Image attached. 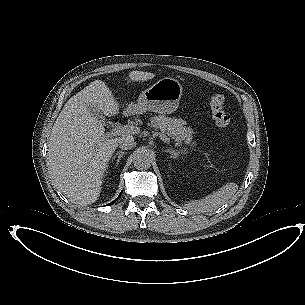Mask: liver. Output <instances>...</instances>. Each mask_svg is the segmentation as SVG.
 <instances>
[{"mask_svg": "<svg viewBox=\"0 0 305 305\" xmlns=\"http://www.w3.org/2000/svg\"><path fill=\"white\" fill-rule=\"evenodd\" d=\"M118 113V102L100 80L65 103L49 138L48 165L54 183L67 197L90 204L100 196L107 164L120 137L107 135L99 117Z\"/></svg>", "mask_w": 305, "mask_h": 305, "instance_id": "obj_1", "label": "liver"}]
</instances>
